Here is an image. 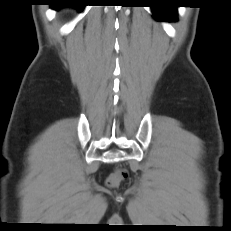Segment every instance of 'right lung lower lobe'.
<instances>
[{"mask_svg":"<svg viewBox=\"0 0 231 231\" xmlns=\"http://www.w3.org/2000/svg\"><path fill=\"white\" fill-rule=\"evenodd\" d=\"M85 1L84 0H52L51 7L54 9L70 6L75 7L79 11H82L85 7Z\"/></svg>","mask_w":231,"mask_h":231,"instance_id":"obj_1","label":"right lung lower lobe"}]
</instances>
